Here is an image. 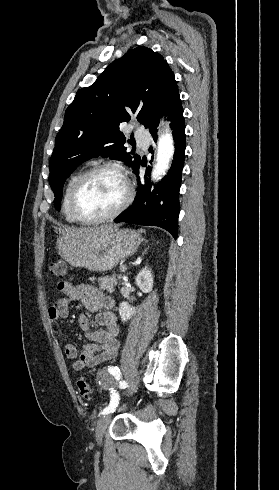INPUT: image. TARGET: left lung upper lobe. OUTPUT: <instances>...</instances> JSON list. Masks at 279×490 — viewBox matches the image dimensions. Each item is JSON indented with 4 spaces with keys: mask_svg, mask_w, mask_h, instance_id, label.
I'll list each match as a JSON object with an SVG mask.
<instances>
[{
    "mask_svg": "<svg viewBox=\"0 0 279 490\" xmlns=\"http://www.w3.org/2000/svg\"><path fill=\"white\" fill-rule=\"evenodd\" d=\"M177 97L178 86L167 61L143 46L128 50L91 86L78 90L65 112L49 162L56 209L60 208L66 178L82 162L101 155L135 169L140 157L126 152L119 124L129 122L131 113L136 112L137 120L148 128Z\"/></svg>",
    "mask_w": 279,
    "mask_h": 490,
    "instance_id": "5c2ea615",
    "label": "left lung upper lobe"
}]
</instances>
